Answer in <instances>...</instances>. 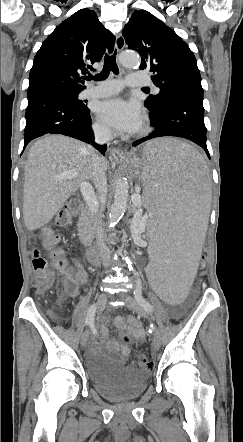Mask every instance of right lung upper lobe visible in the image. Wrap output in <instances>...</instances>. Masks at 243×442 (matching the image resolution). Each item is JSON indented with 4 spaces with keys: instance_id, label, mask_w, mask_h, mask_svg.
I'll return each instance as SVG.
<instances>
[{
    "instance_id": "1",
    "label": "right lung upper lobe",
    "mask_w": 243,
    "mask_h": 442,
    "mask_svg": "<svg viewBox=\"0 0 243 442\" xmlns=\"http://www.w3.org/2000/svg\"><path fill=\"white\" fill-rule=\"evenodd\" d=\"M115 37L104 28L93 10L81 9L58 25L42 43L29 76L28 91L59 88L82 91L91 64L113 51Z\"/></svg>"
}]
</instances>
